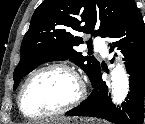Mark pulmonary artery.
Listing matches in <instances>:
<instances>
[{"label": "pulmonary artery", "instance_id": "pulmonary-artery-1", "mask_svg": "<svg viewBox=\"0 0 145 124\" xmlns=\"http://www.w3.org/2000/svg\"><path fill=\"white\" fill-rule=\"evenodd\" d=\"M94 46H95L96 50L99 51L103 56H107V48L102 43L100 37H96L94 39Z\"/></svg>", "mask_w": 145, "mask_h": 124}]
</instances>
